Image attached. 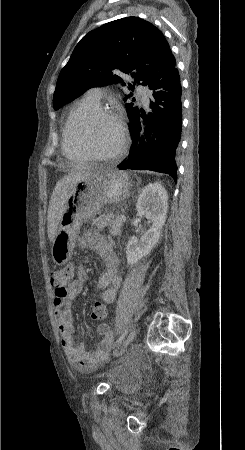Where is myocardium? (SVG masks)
<instances>
[{"label":"myocardium","mask_w":245,"mask_h":450,"mask_svg":"<svg viewBox=\"0 0 245 450\" xmlns=\"http://www.w3.org/2000/svg\"><path fill=\"white\" fill-rule=\"evenodd\" d=\"M107 119L115 122L119 126L120 134H121V141L119 147L112 153L107 155H99L95 153L90 145L87 143L86 140H84L80 134L78 133L76 129V124L73 127V138L76 146L82 150L86 156L94 161L99 162H108L112 160H116L120 157H122L127 149L128 142H129V135H128V129L126 126V123L123 121V119L116 113L106 110V109H96L90 114H88L83 120L82 123L85 126V129L87 132H90L93 126L100 120Z\"/></svg>","instance_id":"myocardium-1"}]
</instances>
